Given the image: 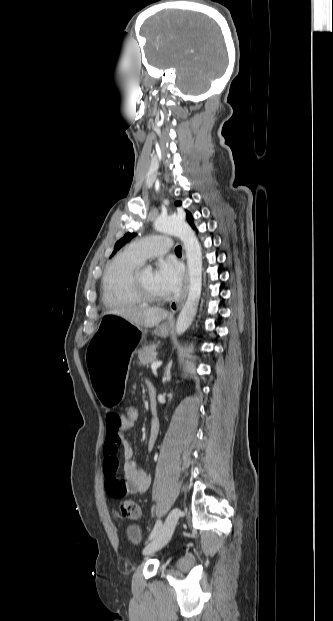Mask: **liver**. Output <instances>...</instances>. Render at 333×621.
I'll return each instance as SVG.
<instances>
[{
    "mask_svg": "<svg viewBox=\"0 0 333 621\" xmlns=\"http://www.w3.org/2000/svg\"><path fill=\"white\" fill-rule=\"evenodd\" d=\"M106 314H117L128 322L145 328L157 326L168 316V312L162 308H126L111 310Z\"/></svg>",
    "mask_w": 333,
    "mask_h": 621,
    "instance_id": "liver-1",
    "label": "liver"
}]
</instances>
